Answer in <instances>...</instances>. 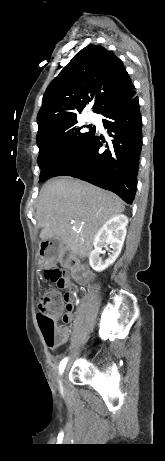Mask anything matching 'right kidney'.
Wrapping results in <instances>:
<instances>
[{
	"label": "right kidney",
	"instance_id": "1",
	"mask_svg": "<svg viewBox=\"0 0 165 461\" xmlns=\"http://www.w3.org/2000/svg\"><path fill=\"white\" fill-rule=\"evenodd\" d=\"M127 216L123 214L111 217L98 231L94 238V250L89 255V263L93 270L101 272L118 258L126 236ZM111 248L109 258L102 260V248Z\"/></svg>",
	"mask_w": 165,
	"mask_h": 461
}]
</instances>
